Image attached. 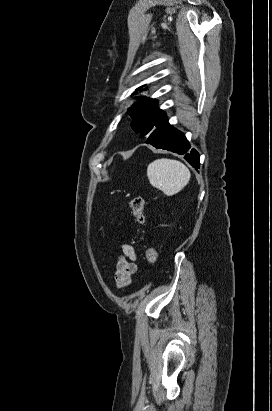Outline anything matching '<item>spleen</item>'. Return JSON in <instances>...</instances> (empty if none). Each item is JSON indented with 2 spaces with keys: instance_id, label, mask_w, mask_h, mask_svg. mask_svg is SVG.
<instances>
[{
  "instance_id": "obj_1",
  "label": "spleen",
  "mask_w": 272,
  "mask_h": 411,
  "mask_svg": "<svg viewBox=\"0 0 272 411\" xmlns=\"http://www.w3.org/2000/svg\"><path fill=\"white\" fill-rule=\"evenodd\" d=\"M147 176L153 187L167 196H172L188 184L191 174L182 162L161 158L148 165Z\"/></svg>"
}]
</instances>
